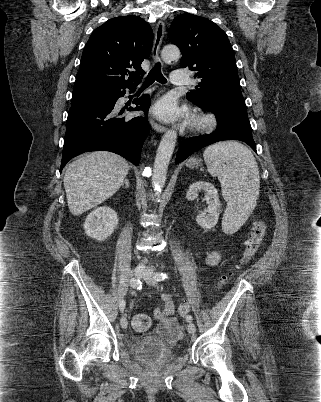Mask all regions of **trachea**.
Returning a JSON list of instances; mask_svg holds the SVG:
<instances>
[{
  "label": "trachea",
  "mask_w": 321,
  "mask_h": 402,
  "mask_svg": "<svg viewBox=\"0 0 321 402\" xmlns=\"http://www.w3.org/2000/svg\"><path fill=\"white\" fill-rule=\"evenodd\" d=\"M159 82L162 84L167 83L166 78L163 76L161 72V64L160 62H157L155 66L151 69L149 72L148 76L146 77L145 81L141 85V89H145L148 86H150L153 82Z\"/></svg>",
  "instance_id": "obj_1"
}]
</instances>
